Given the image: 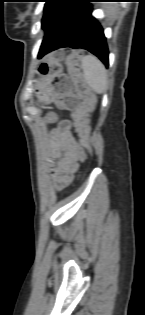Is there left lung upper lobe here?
<instances>
[{"label":"left lung upper lobe","instance_id":"left-lung-upper-lobe-1","mask_svg":"<svg viewBox=\"0 0 145 315\" xmlns=\"http://www.w3.org/2000/svg\"><path fill=\"white\" fill-rule=\"evenodd\" d=\"M72 1L73 0H46L42 19V28L45 30V34Z\"/></svg>","mask_w":145,"mask_h":315}]
</instances>
